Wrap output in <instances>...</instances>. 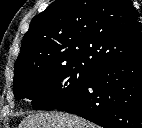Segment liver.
Segmentation results:
<instances>
[{"instance_id":"obj_1","label":"liver","mask_w":142,"mask_h":128,"mask_svg":"<svg viewBox=\"0 0 142 128\" xmlns=\"http://www.w3.org/2000/svg\"><path fill=\"white\" fill-rule=\"evenodd\" d=\"M19 128H97L96 125L76 115L50 112L35 113L23 119Z\"/></svg>"}]
</instances>
